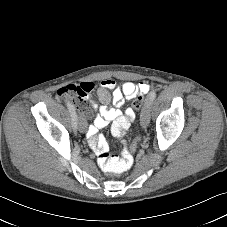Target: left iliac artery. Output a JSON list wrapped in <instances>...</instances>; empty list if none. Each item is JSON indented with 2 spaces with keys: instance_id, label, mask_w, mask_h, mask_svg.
Here are the masks:
<instances>
[{
  "instance_id": "obj_1",
  "label": "left iliac artery",
  "mask_w": 227,
  "mask_h": 227,
  "mask_svg": "<svg viewBox=\"0 0 227 227\" xmlns=\"http://www.w3.org/2000/svg\"><path fill=\"white\" fill-rule=\"evenodd\" d=\"M155 98H156V92L153 91V92H151L150 95H149V100H150L151 102H153V100H154Z\"/></svg>"
}]
</instances>
